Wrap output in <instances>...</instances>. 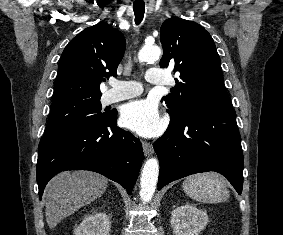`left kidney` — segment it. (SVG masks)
<instances>
[{
  "instance_id": "left-kidney-1",
  "label": "left kidney",
  "mask_w": 283,
  "mask_h": 235,
  "mask_svg": "<svg viewBox=\"0 0 283 235\" xmlns=\"http://www.w3.org/2000/svg\"><path fill=\"white\" fill-rule=\"evenodd\" d=\"M208 222L206 212L191 204L175 208L170 220L175 235H199Z\"/></svg>"
}]
</instances>
